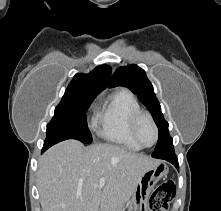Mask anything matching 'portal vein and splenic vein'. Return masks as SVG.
<instances>
[{
	"label": "portal vein and splenic vein",
	"mask_w": 221,
	"mask_h": 211,
	"mask_svg": "<svg viewBox=\"0 0 221 211\" xmlns=\"http://www.w3.org/2000/svg\"><path fill=\"white\" fill-rule=\"evenodd\" d=\"M105 183H106V179L105 178H101L100 180H99V188H103L104 187V185H105Z\"/></svg>",
	"instance_id": "obj_1"
}]
</instances>
